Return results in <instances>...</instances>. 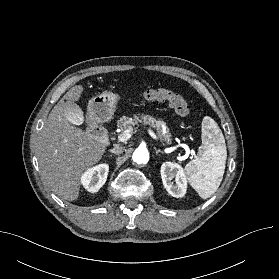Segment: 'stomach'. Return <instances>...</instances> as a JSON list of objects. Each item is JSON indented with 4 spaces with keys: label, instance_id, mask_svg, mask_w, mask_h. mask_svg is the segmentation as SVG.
Masks as SVG:
<instances>
[{
    "label": "stomach",
    "instance_id": "stomach-1",
    "mask_svg": "<svg viewBox=\"0 0 279 279\" xmlns=\"http://www.w3.org/2000/svg\"><path fill=\"white\" fill-rule=\"evenodd\" d=\"M121 97L117 93L103 92L93 97L88 103V119L92 123L109 121Z\"/></svg>",
    "mask_w": 279,
    "mask_h": 279
}]
</instances>
